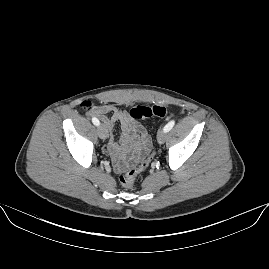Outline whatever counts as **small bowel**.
<instances>
[{"label":"small bowel","mask_w":269,"mask_h":269,"mask_svg":"<svg viewBox=\"0 0 269 269\" xmlns=\"http://www.w3.org/2000/svg\"><path fill=\"white\" fill-rule=\"evenodd\" d=\"M91 114L100 118L111 137L108 150L117 172L122 173L127 168L139 164L144 151H152V140L145 127L133 121L130 115L113 104L95 106ZM120 122L121 134L118 140L113 136L115 123Z\"/></svg>","instance_id":"c3829d8e"}]
</instances>
